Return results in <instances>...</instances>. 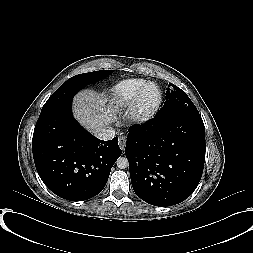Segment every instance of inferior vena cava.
I'll use <instances>...</instances> for the list:
<instances>
[{
  "instance_id": "602c4592",
  "label": "inferior vena cava",
  "mask_w": 253,
  "mask_h": 253,
  "mask_svg": "<svg viewBox=\"0 0 253 253\" xmlns=\"http://www.w3.org/2000/svg\"><path fill=\"white\" fill-rule=\"evenodd\" d=\"M95 136L98 139H101V140H104V141L111 140L112 138L115 137V130L112 129L111 127L103 128V129L97 131L95 133Z\"/></svg>"
}]
</instances>
